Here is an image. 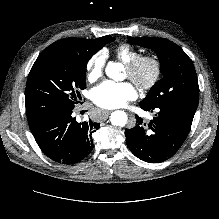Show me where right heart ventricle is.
Wrapping results in <instances>:
<instances>
[{"label":"right heart ventricle","mask_w":219,"mask_h":219,"mask_svg":"<svg viewBox=\"0 0 219 219\" xmlns=\"http://www.w3.org/2000/svg\"><path fill=\"white\" fill-rule=\"evenodd\" d=\"M141 55L140 51L129 44H120L115 49V56L125 65L134 61Z\"/></svg>","instance_id":"right-heart-ventricle-1"}]
</instances>
